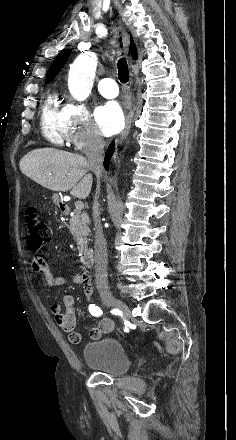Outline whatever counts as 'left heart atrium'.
<instances>
[{
  "label": "left heart atrium",
  "instance_id": "1",
  "mask_svg": "<svg viewBox=\"0 0 236 440\" xmlns=\"http://www.w3.org/2000/svg\"><path fill=\"white\" fill-rule=\"evenodd\" d=\"M96 122L103 135L110 136L120 131L124 123L121 107L116 102H107L96 110Z\"/></svg>",
  "mask_w": 236,
  "mask_h": 440
}]
</instances>
